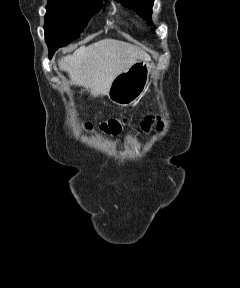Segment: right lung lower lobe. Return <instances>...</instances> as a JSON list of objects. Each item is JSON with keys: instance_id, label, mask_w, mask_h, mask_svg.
<instances>
[{"instance_id": "1", "label": "right lung lower lobe", "mask_w": 240, "mask_h": 288, "mask_svg": "<svg viewBox=\"0 0 240 288\" xmlns=\"http://www.w3.org/2000/svg\"><path fill=\"white\" fill-rule=\"evenodd\" d=\"M54 52H55V51H50V50H49V58H50V59H51V57L53 56Z\"/></svg>"}]
</instances>
